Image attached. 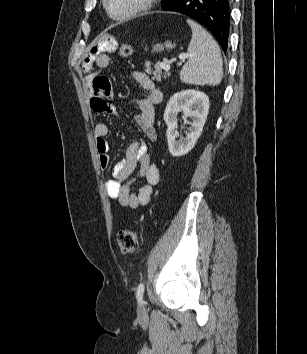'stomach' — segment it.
Masks as SVG:
<instances>
[{
  "instance_id": "0dacf381",
  "label": "stomach",
  "mask_w": 307,
  "mask_h": 354,
  "mask_svg": "<svg viewBox=\"0 0 307 354\" xmlns=\"http://www.w3.org/2000/svg\"><path fill=\"white\" fill-rule=\"evenodd\" d=\"M175 47L174 44H172L171 41H165L164 43H157L156 45L153 46V52H161L166 50L173 49Z\"/></svg>"
}]
</instances>
